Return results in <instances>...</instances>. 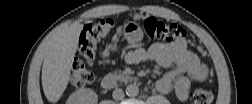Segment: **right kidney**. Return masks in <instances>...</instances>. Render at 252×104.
<instances>
[{
    "mask_svg": "<svg viewBox=\"0 0 252 104\" xmlns=\"http://www.w3.org/2000/svg\"><path fill=\"white\" fill-rule=\"evenodd\" d=\"M97 94L91 89H80L72 93L67 100L68 104H96Z\"/></svg>",
    "mask_w": 252,
    "mask_h": 104,
    "instance_id": "ca27d5eb",
    "label": "right kidney"
}]
</instances>
